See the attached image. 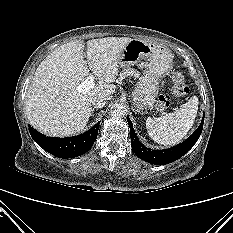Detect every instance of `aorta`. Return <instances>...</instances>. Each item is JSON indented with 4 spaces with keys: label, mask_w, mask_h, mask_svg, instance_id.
Segmentation results:
<instances>
[{
    "label": "aorta",
    "mask_w": 233,
    "mask_h": 233,
    "mask_svg": "<svg viewBox=\"0 0 233 233\" xmlns=\"http://www.w3.org/2000/svg\"><path fill=\"white\" fill-rule=\"evenodd\" d=\"M110 112L113 116L123 117L127 113V108L124 104L118 103V104L112 105Z\"/></svg>",
    "instance_id": "obj_1"
}]
</instances>
